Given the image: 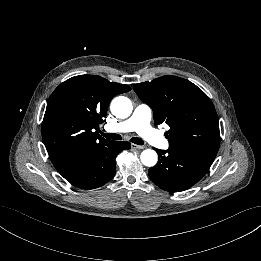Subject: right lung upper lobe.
<instances>
[{
	"label": "right lung upper lobe",
	"instance_id": "1",
	"mask_svg": "<svg viewBox=\"0 0 261 261\" xmlns=\"http://www.w3.org/2000/svg\"><path fill=\"white\" fill-rule=\"evenodd\" d=\"M130 90L128 85L96 75L72 77L55 89L47 103L42 138L57 170L115 142L98 134L99 124L111 99Z\"/></svg>",
	"mask_w": 261,
	"mask_h": 261
}]
</instances>
